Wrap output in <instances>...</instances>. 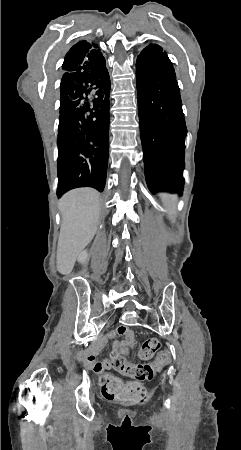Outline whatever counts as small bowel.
<instances>
[{
	"label": "small bowel",
	"mask_w": 241,
	"mask_h": 450,
	"mask_svg": "<svg viewBox=\"0 0 241 450\" xmlns=\"http://www.w3.org/2000/svg\"><path fill=\"white\" fill-rule=\"evenodd\" d=\"M116 335L123 336L122 340H115L113 342L112 353L116 352L121 356H127L129 354V348L134 344V333L126 325L119 326L115 332L109 334L110 338H114ZM104 344V340L100 341L94 348H92L85 356V362L90 366L95 373H102L105 370L111 368V360L106 359L103 361H96L98 353L97 349Z\"/></svg>",
	"instance_id": "small-bowel-1"
}]
</instances>
